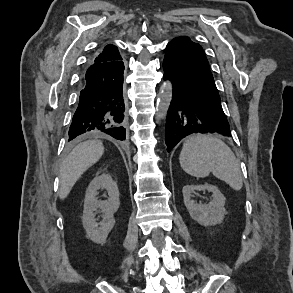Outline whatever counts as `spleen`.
<instances>
[{
    "label": "spleen",
    "mask_w": 293,
    "mask_h": 293,
    "mask_svg": "<svg viewBox=\"0 0 293 293\" xmlns=\"http://www.w3.org/2000/svg\"><path fill=\"white\" fill-rule=\"evenodd\" d=\"M179 161L189 175L203 178L213 175L234 190L243 186L239 162L232 150L219 138L196 134L188 137L181 150Z\"/></svg>",
    "instance_id": "obj_1"
}]
</instances>
